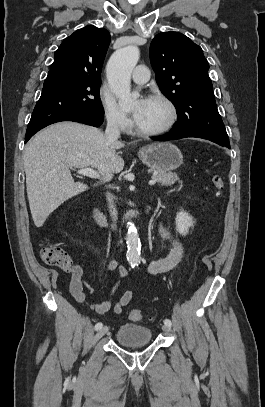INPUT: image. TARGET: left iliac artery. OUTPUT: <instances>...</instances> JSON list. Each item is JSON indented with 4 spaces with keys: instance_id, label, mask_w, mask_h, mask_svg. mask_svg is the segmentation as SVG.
Returning <instances> with one entry per match:
<instances>
[{
    "instance_id": "left-iliac-artery-1",
    "label": "left iliac artery",
    "mask_w": 265,
    "mask_h": 407,
    "mask_svg": "<svg viewBox=\"0 0 265 407\" xmlns=\"http://www.w3.org/2000/svg\"><path fill=\"white\" fill-rule=\"evenodd\" d=\"M164 324L171 326L172 323L169 319H165Z\"/></svg>"
}]
</instances>
